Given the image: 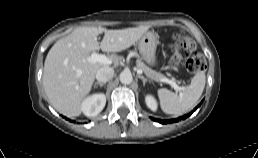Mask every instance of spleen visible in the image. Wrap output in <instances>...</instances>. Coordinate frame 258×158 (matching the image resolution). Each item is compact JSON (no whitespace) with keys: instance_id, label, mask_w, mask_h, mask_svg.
I'll return each instance as SVG.
<instances>
[{"instance_id":"obj_1","label":"spleen","mask_w":258,"mask_h":158,"mask_svg":"<svg viewBox=\"0 0 258 158\" xmlns=\"http://www.w3.org/2000/svg\"><path fill=\"white\" fill-rule=\"evenodd\" d=\"M206 83L205 73L198 72L179 94L167 89L157 91L161 108L167 114L181 115L192 108L201 97Z\"/></svg>"}]
</instances>
